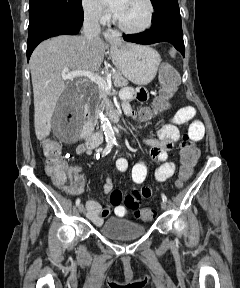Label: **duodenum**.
<instances>
[{
  "mask_svg": "<svg viewBox=\"0 0 240 288\" xmlns=\"http://www.w3.org/2000/svg\"><path fill=\"white\" fill-rule=\"evenodd\" d=\"M107 115L110 120L116 121L119 119L120 113L116 107H110L107 111ZM84 117H85L86 143L89 147L95 148L100 144L102 140V132L93 131L95 118L87 107L84 110Z\"/></svg>",
  "mask_w": 240,
  "mask_h": 288,
  "instance_id": "410a0bca",
  "label": "duodenum"
}]
</instances>
